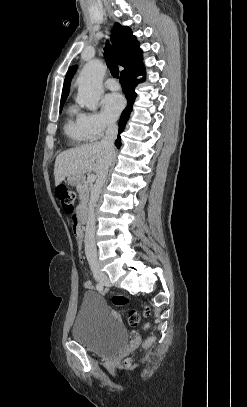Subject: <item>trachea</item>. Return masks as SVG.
<instances>
[{"label":"trachea","mask_w":247,"mask_h":407,"mask_svg":"<svg viewBox=\"0 0 247 407\" xmlns=\"http://www.w3.org/2000/svg\"><path fill=\"white\" fill-rule=\"evenodd\" d=\"M104 58L110 69L111 75L114 78H119V68L115 59V51L108 42L105 45Z\"/></svg>","instance_id":"1"}]
</instances>
